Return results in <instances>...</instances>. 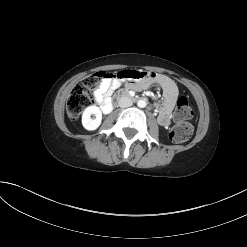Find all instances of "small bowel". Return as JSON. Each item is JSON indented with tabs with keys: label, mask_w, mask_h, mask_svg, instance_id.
Here are the masks:
<instances>
[{
	"label": "small bowel",
	"mask_w": 247,
	"mask_h": 247,
	"mask_svg": "<svg viewBox=\"0 0 247 247\" xmlns=\"http://www.w3.org/2000/svg\"><path fill=\"white\" fill-rule=\"evenodd\" d=\"M125 82L132 90H143L148 87L149 83H158L163 90L158 122L164 127L170 125L171 112L178 97V88L169 77L150 70H123L116 73L114 77L105 78L95 92V101L104 113L112 110L113 93Z\"/></svg>",
	"instance_id": "1"
}]
</instances>
